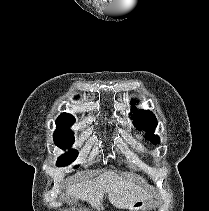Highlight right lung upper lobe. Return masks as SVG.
Returning a JSON list of instances; mask_svg holds the SVG:
<instances>
[{"instance_id": "obj_1", "label": "right lung upper lobe", "mask_w": 209, "mask_h": 211, "mask_svg": "<svg viewBox=\"0 0 209 211\" xmlns=\"http://www.w3.org/2000/svg\"><path fill=\"white\" fill-rule=\"evenodd\" d=\"M75 122V118L68 113H62L56 120L57 128H69Z\"/></svg>"}]
</instances>
